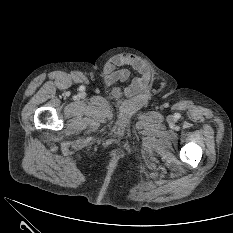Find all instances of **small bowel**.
Masks as SVG:
<instances>
[{
    "label": "small bowel",
    "mask_w": 233,
    "mask_h": 233,
    "mask_svg": "<svg viewBox=\"0 0 233 233\" xmlns=\"http://www.w3.org/2000/svg\"><path fill=\"white\" fill-rule=\"evenodd\" d=\"M127 66L134 69L139 75L128 85L122 87L117 85L130 77ZM104 82L110 87L113 96L117 98L133 97L142 92L150 80L148 66L136 56L115 55L111 57L103 67Z\"/></svg>",
    "instance_id": "1"
}]
</instances>
